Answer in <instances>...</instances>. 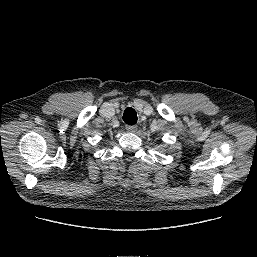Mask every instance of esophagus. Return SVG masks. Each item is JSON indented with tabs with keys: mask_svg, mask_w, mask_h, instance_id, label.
<instances>
[{
	"mask_svg": "<svg viewBox=\"0 0 257 257\" xmlns=\"http://www.w3.org/2000/svg\"><path fill=\"white\" fill-rule=\"evenodd\" d=\"M136 129H137V126H136V125H127V126H126V130H127L128 132H134V131H136Z\"/></svg>",
	"mask_w": 257,
	"mask_h": 257,
	"instance_id": "esophagus-1",
	"label": "esophagus"
}]
</instances>
